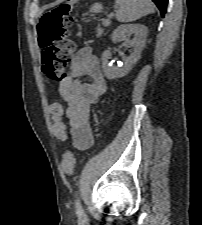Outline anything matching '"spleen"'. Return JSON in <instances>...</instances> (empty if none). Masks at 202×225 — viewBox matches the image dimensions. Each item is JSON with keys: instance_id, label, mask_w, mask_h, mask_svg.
Listing matches in <instances>:
<instances>
[{"instance_id": "1", "label": "spleen", "mask_w": 202, "mask_h": 225, "mask_svg": "<svg viewBox=\"0 0 202 225\" xmlns=\"http://www.w3.org/2000/svg\"><path fill=\"white\" fill-rule=\"evenodd\" d=\"M116 4L118 5L116 19L119 22L135 21L155 12L151 0H116Z\"/></svg>"}]
</instances>
